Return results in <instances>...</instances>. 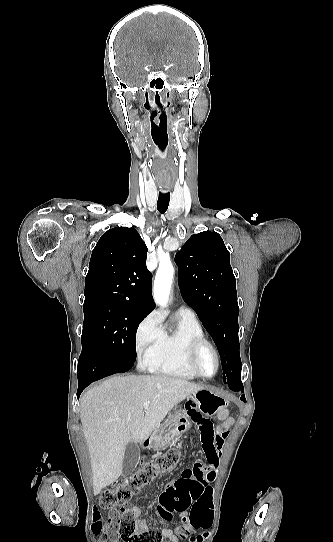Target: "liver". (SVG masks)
Returning <instances> with one entry per match:
<instances>
[{
    "instance_id": "6515ba94",
    "label": "liver",
    "mask_w": 333,
    "mask_h": 542,
    "mask_svg": "<svg viewBox=\"0 0 333 542\" xmlns=\"http://www.w3.org/2000/svg\"><path fill=\"white\" fill-rule=\"evenodd\" d=\"M199 390L205 388L165 374L113 376L82 396L80 418L94 496L121 476L128 444H142L174 406Z\"/></svg>"
}]
</instances>
